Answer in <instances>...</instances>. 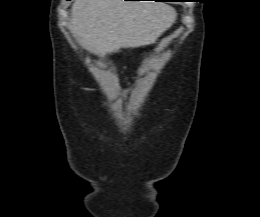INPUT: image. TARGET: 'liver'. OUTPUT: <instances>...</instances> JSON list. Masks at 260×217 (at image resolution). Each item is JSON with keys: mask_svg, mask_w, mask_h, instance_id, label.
I'll return each instance as SVG.
<instances>
[{"mask_svg": "<svg viewBox=\"0 0 260 217\" xmlns=\"http://www.w3.org/2000/svg\"><path fill=\"white\" fill-rule=\"evenodd\" d=\"M71 12L73 36L83 48L101 56L155 43L177 16L162 2L124 0H75Z\"/></svg>", "mask_w": 260, "mask_h": 217, "instance_id": "6515ba94", "label": "liver"}]
</instances>
